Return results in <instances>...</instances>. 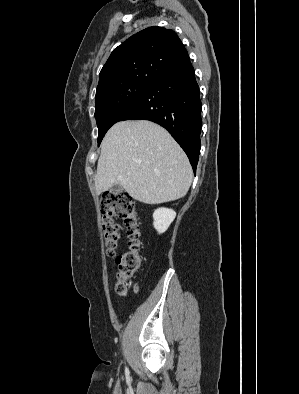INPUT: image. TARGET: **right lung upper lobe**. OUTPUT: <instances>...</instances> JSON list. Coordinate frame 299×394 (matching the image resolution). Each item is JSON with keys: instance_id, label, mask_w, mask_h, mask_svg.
I'll return each mask as SVG.
<instances>
[{"instance_id": "cb5924a9", "label": "right lung upper lobe", "mask_w": 299, "mask_h": 394, "mask_svg": "<svg viewBox=\"0 0 299 394\" xmlns=\"http://www.w3.org/2000/svg\"><path fill=\"white\" fill-rule=\"evenodd\" d=\"M188 57L173 30L146 28L112 51L100 72L96 95L130 82L152 83Z\"/></svg>"}]
</instances>
